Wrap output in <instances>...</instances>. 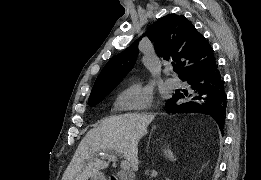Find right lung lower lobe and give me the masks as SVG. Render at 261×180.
I'll use <instances>...</instances> for the list:
<instances>
[{"label":"right lung lower lobe","instance_id":"right-lung-lower-lobe-1","mask_svg":"<svg viewBox=\"0 0 261 180\" xmlns=\"http://www.w3.org/2000/svg\"><path fill=\"white\" fill-rule=\"evenodd\" d=\"M181 80L190 84L192 93L176 92L168 100V113H203L211 116L223 133L226 119L227 96L224 81L214 61L187 73Z\"/></svg>","mask_w":261,"mask_h":180}]
</instances>
